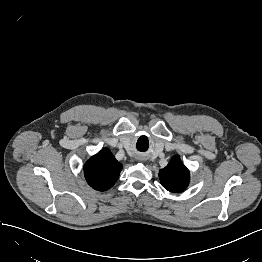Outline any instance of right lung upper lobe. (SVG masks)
<instances>
[{
	"label": "right lung upper lobe",
	"instance_id": "1",
	"mask_svg": "<svg viewBox=\"0 0 262 262\" xmlns=\"http://www.w3.org/2000/svg\"><path fill=\"white\" fill-rule=\"evenodd\" d=\"M122 164H120L108 149H103L91 157L84 167L87 183L98 191H105L117 181Z\"/></svg>",
	"mask_w": 262,
	"mask_h": 262
}]
</instances>
